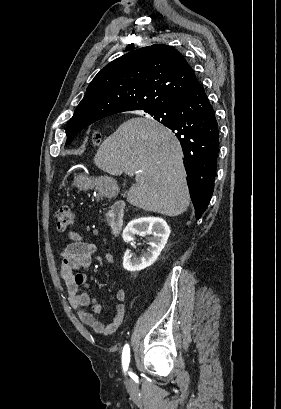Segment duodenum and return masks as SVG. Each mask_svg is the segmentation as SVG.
Masks as SVG:
<instances>
[{"mask_svg":"<svg viewBox=\"0 0 281 409\" xmlns=\"http://www.w3.org/2000/svg\"><path fill=\"white\" fill-rule=\"evenodd\" d=\"M125 203L116 201L112 204L108 213V225L114 235H119L124 224Z\"/></svg>","mask_w":281,"mask_h":409,"instance_id":"duodenum-1","label":"duodenum"}]
</instances>
